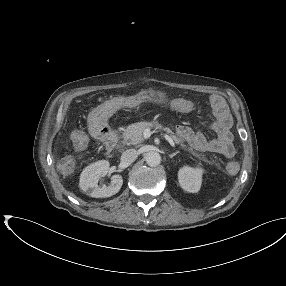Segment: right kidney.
Instances as JSON below:
<instances>
[{
  "mask_svg": "<svg viewBox=\"0 0 286 286\" xmlns=\"http://www.w3.org/2000/svg\"><path fill=\"white\" fill-rule=\"evenodd\" d=\"M109 162L106 160L97 161L88 165L80 175V188L89 196L94 198L111 197L119 192L123 179L121 175H113L109 186H98V181L109 172Z\"/></svg>",
  "mask_w": 286,
  "mask_h": 286,
  "instance_id": "obj_1",
  "label": "right kidney"
}]
</instances>
